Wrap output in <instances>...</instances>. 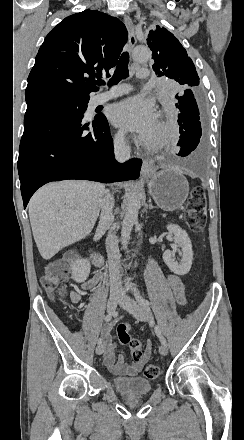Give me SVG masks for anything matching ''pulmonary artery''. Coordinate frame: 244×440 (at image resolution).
<instances>
[{
    "instance_id": "pulmonary-artery-1",
    "label": "pulmonary artery",
    "mask_w": 244,
    "mask_h": 440,
    "mask_svg": "<svg viewBox=\"0 0 244 440\" xmlns=\"http://www.w3.org/2000/svg\"><path fill=\"white\" fill-rule=\"evenodd\" d=\"M147 70L146 69H137L136 76L137 78H146L147 77ZM128 89H124L122 87H115V85H112V88L110 90V93H101L94 96L90 101V106L95 107L105 101L114 99L118 96L126 95L128 94Z\"/></svg>"
}]
</instances>
